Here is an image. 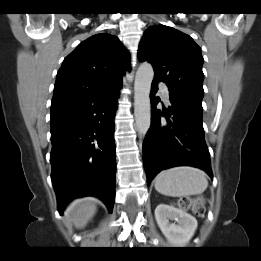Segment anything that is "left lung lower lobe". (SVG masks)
I'll list each match as a JSON object with an SVG mask.
<instances>
[{
  "mask_svg": "<svg viewBox=\"0 0 261 261\" xmlns=\"http://www.w3.org/2000/svg\"><path fill=\"white\" fill-rule=\"evenodd\" d=\"M153 80L151 87V126L143 143V164L149 186L163 169L189 165L207 172L212 177L210 154L202 125V102L178 92H170L171 106L157 110L159 99ZM164 115L166 119H162ZM171 117V118H169Z\"/></svg>",
  "mask_w": 261,
  "mask_h": 261,
  "instance_id": "0a47b994",
  "label": "left lung lower lobe"
}]
</instances>
